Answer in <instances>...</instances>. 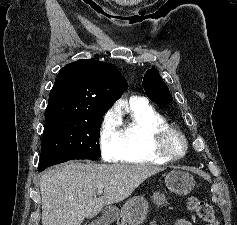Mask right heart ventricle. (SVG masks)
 <instances>
[{
	"label": "right heart ventricle",
	"instance_id": "1",
	"mask_svg": "<svg viewBox=\"0 0 237 225\" xmlns=\"http://www.w3.org/2000/svg\"><path fill=\"white\" fill-rule=\"evenodd\" d=\"M129 120L120 127L121 150L118 162L163 164L170 160L159 156L153 146V132L168 127L166 119L145 99L130 101Z\"/></svg>",
	"mask_w": 237,
	"mask_h": 225
}]
</instances>
